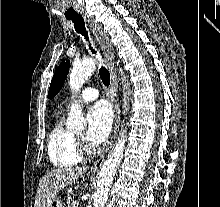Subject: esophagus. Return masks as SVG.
I'll list each match as a JSON object with an SVG mask.
<instances>
[{"instance_id": "esophagus-1", "label": "esophagus", "mask_w": 220, "mask_h": 207, "mask_svg": "<svg viewBox=\"0 0 220 207\" xmlns=\"http://www.w3.org/2000/svg\"><path fill=\"white\" fill-rule=\"evenodd\" d=\"M85 20L87 21L89 27L91 28L98 44L100 45L101 50L103 51V54L106 58L110 77H111V92H110V100L114 107V113H115V119H114V125H113V132L111 139L108 143V146L105 150V152L100 156V158L94 163V165L91 168L92 172H97L100 167L102 166L103 162L105 161V158L107 154L110 152L114 141L117 137L119 125H120V104L118 102L117 96L115 94V90L117 88V74L115 71V55H114V48L108 38V36L103 32L100 25L97 23L95 19L92 17L85 15Z\"/></svg>"}]
</instances>
